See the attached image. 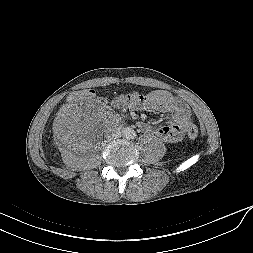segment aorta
Wrapping results in <instances>:
<instances>
[{"mask_svg":"<svg viewBox=\"0 0 253 253\" xmlns=\"http://www.w3.org/2000/svg\"><path fill=\"white\" fill-rule=\"evenodd\" d=\"M133 130H132V128H130V127H125L124 129H123V131H122V133H123V135L125 136V137H131L132 136V134H133Z\"/></svg>","mask_w":253,"mask_h":253,"instance_id":"aorta-1","label":"aorta"}]
</instances>
